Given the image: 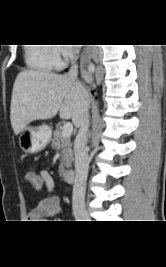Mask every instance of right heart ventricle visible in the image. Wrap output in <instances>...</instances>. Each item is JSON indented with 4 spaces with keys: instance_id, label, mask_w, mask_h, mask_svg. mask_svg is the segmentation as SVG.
<instances>
[{
    "instance_id": "1",
    "label": "right heart ventricle",
    "mask_w": 166,
    "mask_h": 267,
    "mask_svg": "<svg viewBox=\"0 0 166 267\" xmlns=\"http://www.w3.org/2000/svg\"><path fill=\"white\" fill-rule=\"evenodd\" d=\"M49 44L32 43L25 48L24 58L26 65L33 70L49 72L60 66L54 48Z\"/></svg>"
}]
</instances>
